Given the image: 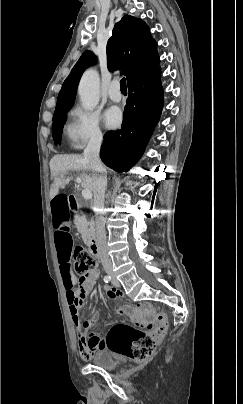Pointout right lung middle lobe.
I'll use <instances>...</instances> for the list:
<instances>
[{"instance_id": "1", "label": "right lung middle lobe", "mask_w": 243, "mask_h": 404, "mask_svg": "<svg viewBox=\"0 0 243 404\" xmlns=\"http://www.w3.org/2000/svg\"><path fill=\"white\" fill-rule=\"evenodd\" d=\"M71 109V107L58 110L54 113L53 124H52V134L55 144H60L61 131L65 122L66 113Z\"/></svg>"}]
</instances>
